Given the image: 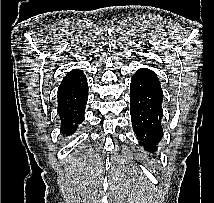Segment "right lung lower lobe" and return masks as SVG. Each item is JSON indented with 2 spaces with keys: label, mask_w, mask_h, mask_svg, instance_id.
<instances>
[{
  "label": "right lung lower lobe",
  "mask_w": 214,
  "mask_h": 203,
  "mask_svg": "<svg viewBox=\"0 0 214 203\" xmlns=\"http://www.w3.org/2000/svg\"><path fill=\"white\" fill-rule=\"evenodd\" d=\"M57 94V111L62 123V132L72 135L84 120V110L88 99V84L83 71L75 69L68 72Z\"/></svg>",
  "instance_id": "1"
}]
</instances>
